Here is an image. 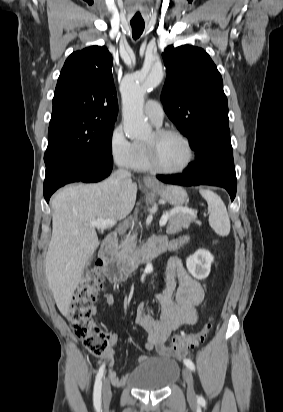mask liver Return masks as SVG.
<instances>
[{"label":"liver","instance_id":"obj_1","mask_svg":"<svg viewBox=\"0 0 283 412\" xmlns=\"http://www.w3.org/2000/svg\"><path fill=\"white\" fill-rule=\"evenodd\" d=\"M137 185L131 178L111 176L98 184L65 187L51 199L52 237L45 274L60 312L67 316L72 296L87 260L100 244L98 219L121 220L133 209Z\"/></svg>","mask_w":283,"mask_h":412}]
</instances>
